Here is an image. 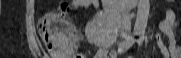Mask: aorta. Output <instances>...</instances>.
I'll use <instances>...</instances> for the list:
<instances>
[{
    "label": "aorta",
    "mask_w": 181,
    "mask_h": 58,
    "mask_svg": "<svg viewBox=\"0 0 181 58\" xmlns=\"http://www.w3.org/2000/svg\"><path fill=\"white\" fill-rule=\"evenodd\" d=\"M150 3L149 0H139L134 32L144 33L147 27L149 17Z\"/></svg>",
    "instance_id": "obj_1"
}]
</instances>
